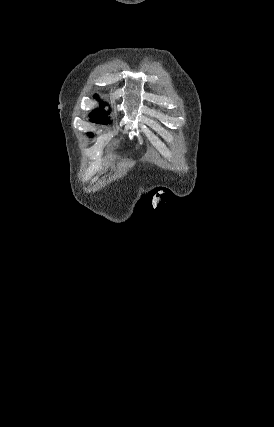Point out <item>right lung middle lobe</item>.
Masks as SVG:
<instances>
[{
    "mask_svg": "<svg viewBox=\"0 0 274 427\" xmlns=\"http://www.w3.org/2000/svg\"><path fill=\"white\" fill-rule=\"evenodd\" d=\"M107 118L101 116V117H92L91 121L96 123H105Z\"/></svg>",
    "mask_w": 274,
    "mask_h": 427,
    "instance_id": "dd1d6c3e",
    "label": "right lung middle lobe"
}]
</instances>
